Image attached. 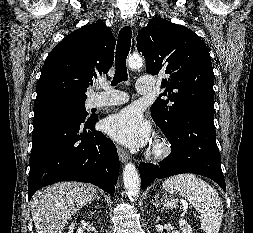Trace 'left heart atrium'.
<instances>
[{
  "label": "left heart atrium",
  "mask_w": 253,
  "mask_h": 233,
  "mask_svg": "<svg viewBox=\"0 0 253 233\" xmlns=\"http://www.w3.org/2000/svg\"><path fill=\"white\" fill-rule=\"evenodd\" d=\"M103 129L116 141L134 148L145 145L151 134L149 122L134 108H126L108 117Z\"/></svg>",
  "instance_id": "39dd6f15"
}]
</instances>
